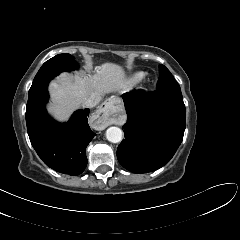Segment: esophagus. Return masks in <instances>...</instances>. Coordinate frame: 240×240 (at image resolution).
Segmentation results:
<instances>
[{"mask_svg":"<svg viewBox=\"0 0 240 240\" xmlns=\"http://www.w3.org/2000/svg\"><path fill=\"white\" fill-rule=\"evenodd\" d=\"M118 103L119 100L117 98L111 97L100 106L95 115V118L98 119V124L105 128L113 123L111 115L114 113L115 105Z\"/></svg>","mask_w":240,"mask_h":240,"instance_id":"34e87169","label":"esophagus"}]
</instances>
